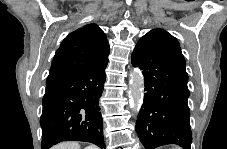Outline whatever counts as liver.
Listing matches in <instances>:
<instances>
[{
    "label": "liver",
    "instance_id": "6515ba94",
    "mask_svg": "<svg viewBox=\"0 0 227 149\" xmlns=\"http://www.w3.org/2000/svg\"><path fill=\"white\" fill-rule=\"evenodd\" d=\"M92 147L97 149L96 146ZM53 149H80V145L78 142H64L54 146Z\"/></svg>",
    "mask_w": 227,
    "mask_h": 149
}]
</instances>
